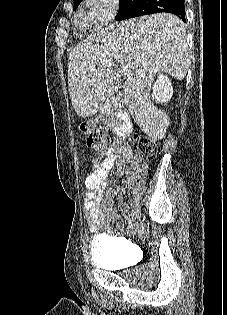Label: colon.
Here are the masks:
<instances>
[{
    "label": "colon",
    "mask_w": 227,
    "mask_h": 315,
    "mask_svg": "<svg viewBox=\"0 0 227 315\" xmlns=\"http://www.w3.org/2000/svg\"><path fill=\"white\" fill-rule=\"evenodd\" d=\"M80 132L86 137V143L89 147L101 148L103 146L105 142L104 133L96 127L92 120H83L80 123ZM134 141L139 150L147 156L155 154L156 145L153 141L141 136H135Z\"/></svg>",
    "instance_id": "colon-1"
}]
</instances>
